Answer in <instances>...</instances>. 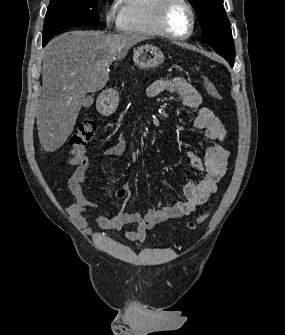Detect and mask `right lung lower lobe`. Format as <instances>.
Here are the masks:
<instances>
[{
    "label": "right lung lower lobe",
    "mask_w": 285,
    "mask_h": 335,
    "mask_svg": "<svg viewBox=\"0 0 285 335\" xmlns=\"http://www.w3.org/2000/svg\"><path fill=\"white\" fill-rule=\"evenodd\" d=\"M46 45V43H43V46H45Z\"/></svg>",
    "instance_id": "right-lung-lower-lobe-1"
}]
</instances>
